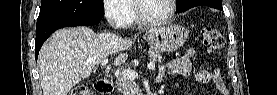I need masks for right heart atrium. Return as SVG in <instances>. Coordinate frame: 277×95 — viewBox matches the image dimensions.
<instances>
[{"instance_id":"right-heart-atrium-1","label":"right heart atrium","mask_w":277,"mask_h":95,"mask_svg":"<svg viewBox=\"0 0 277 95\" xmlns=\"http://www.w3.org/2000/svg\"><path fill=\"white\" fill-rule=\"evenodd\" d=\"M102 8L104 16L115 28L122 27L130 15L126 0H103Z\"/></svg>"}]
</instances>
